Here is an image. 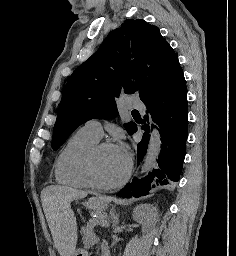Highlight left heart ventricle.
<instances>
[{
	"instance_id": "1",
	"label": "left heart ventricle",
	"mask_w": 236,
	"mask_h": 256,
	"mask_svg": "<svg viewBox=\"0 0 236 256\" xmlns=\"http://www.w3.org/2000/svg\"><path fill=\"white\" fill-rule=\"evenodd\" d=\"M127 159L119 156L112 146L102 150L96 160V171L101 182L109 184L117 181L124 173Z\"/></svg>"
}]
</instances>
